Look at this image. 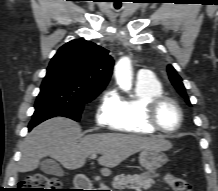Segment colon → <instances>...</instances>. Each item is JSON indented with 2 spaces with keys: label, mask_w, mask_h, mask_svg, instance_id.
I'll list each match as a JSON object with an SVG mask.
<instances>
[{
  "label": "colon",
  "mask_w": 218,
  "mask_h": 191,
  "mask_svg": "<svg viewBox=\"0 0 218 191\" xmlns=\"http://www.w3.org/2000/svg\"><path fill=\"white\" fill-rule=\"evenodd\" d=\"M166 182L173 191H193L191 183L182 177L168 173ZM19 191H65V189L57 178L35 174L21 182Z\"/></svg>",
  "instance_id": "colon-1"
}]
</instances>
